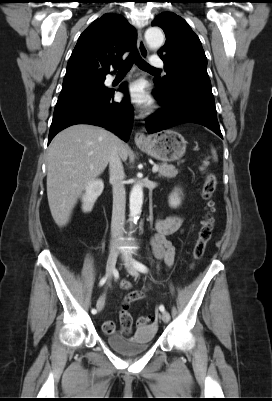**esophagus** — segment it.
I'll return each instance as SVG.
<instances>
[{
  "label": "esophagus",
  "mask_w": 272,
  "mask_h": 401,
  "mask_svg": "<svg viewBox=\"0 0 272 401\" xmlns=\"http://www.w3.org/2000/svg\"><path fill=\"white\" fill-rule=\"evenodd\" d=\"M137 49L143 58L148 57V49L146 47L145 41L143 39L142 31L139 29L137 34ZM135 118L138 119V116L135 115ZM134 141L136 145H143L147 143V137L142 131H138L135 133Z\"/></svg>",
  "instance_id": "1"
}]
</instances>
